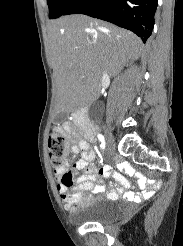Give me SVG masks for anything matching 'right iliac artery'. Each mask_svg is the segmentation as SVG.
Segmentation results:
<instances>
[{"label":"right iliac artery","instance_id":"obj_1","mask_svg":"<svg viewBox=\"0 0 183 246\" xmlns=\"http://www.w3.org/2000/svg\"><path fill=\"white\" fill-rule=\"evenodd\" d=\"M98 139L101 142V148L104 150V148H105L104 136L102 134H98Z\"/></svg>","mask_w":183,"mask_h":246}]
</instances>
